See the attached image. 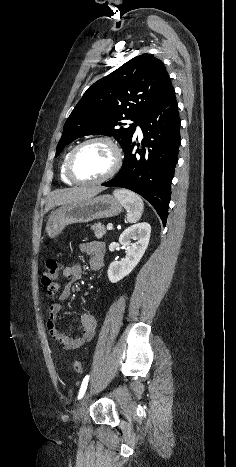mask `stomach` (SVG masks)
Wrapping results in <instances>:
<instances>
[{"label":"stomach","mask_w":236,"mask_h":467,"mask_svg":"<svg viewBox=\"0 0 236 467\" xmlns=\"http://www.w3.org/2000/svg\"><path fill=\"white\" fill-rule=\"evenodd\" d=\"M122 204L112 195L106 194L90 199L65 204L49 217L45 232L49 238L58 236L70 224L86 223L95 219L118 215Z\"/></svg>","instance_id":"stomach-1"}]
</instances>
